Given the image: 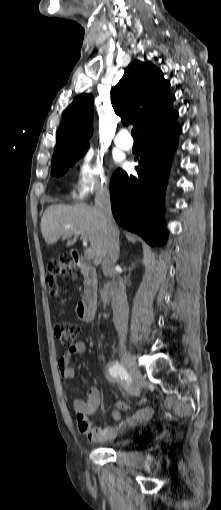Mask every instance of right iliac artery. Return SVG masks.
Wrapping results in <instances>:
<instances>
[{
    "label": "right iliac artery",
    "instance_id": "obj_1",
    "mask_svg": "<svg viewBox=\"0 0 221 510\" xmlns=\"http://www.w3.org/2000/svg\"><path fill=\"white\" fill-rule=\"evenodd\" d=\"M109 373L114 378H119L121 380L126 379L128 376L127 371L118 361L113 362V364L109 367Z\"/></svg>",
    "mask_w": 221,
    "mask_h": 510
}]
</instances>
